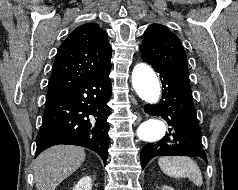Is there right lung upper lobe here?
Returning <instances> with one entry per match:
<instances>
[{
  "instance_id": "1",
  "label": "right lung upper lobe",
  "mask_w": 238,
  "mask_h": 190,
  "mask_svg": "<svg viewBox=\"0 0 238 190\" xmlns=\"http://www.w3.org/2000/svg\"><path fill=\"white\" fill-rule=\"evenodd\" d=\"M111 67L107 33L96 23L77 27L59 47L46 100L63 94Z\"/></svg>"
}]
</instances>
